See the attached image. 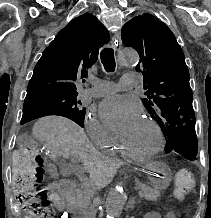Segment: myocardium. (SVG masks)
Instances as JSON below:
<instances>
[{
  "mask_svg": "<svg viewBox=\"0 0 211 218\" xmlns=\"http://www.w3.org/2000/svg\"><path fill=\"white\" fill-rule=\"evenodd\" d=\"M144 120H146L152 126V128L154 129L157 135L158 144L155 147V149H153L151 152H148V153H138V152H135L129 149L123 140H120L119 142V146H120L122 153L126 155L127 157H130L138 161L150 160L156 157L162 150L163 142H164L163 133L158 123L151 117H145Z\"/></svg>",
  "mask_w": 211,
  "mask_h": 218,
  "instance_id": "obj_1",
  "label": "myocardium"
}]
</instances>
